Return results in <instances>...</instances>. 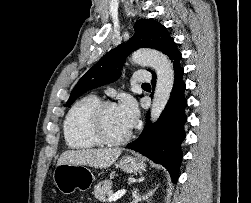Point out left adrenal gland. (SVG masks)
Here are the masks:
<instances>
[{
    "label": "left adrenal gland",
    "instance_id": "obj_1",
    "mask_svg": "<svg viewBox=\"0 0 251 203\" xmlns=\"http://www.w3.org/2000/svg\"><path fill=\"white\" fill-rule=\"evenodd\" d=\"M154 190L153 191H149L147 194H145L144 196H140V194L138 193V190L136 189L134 192H133V201L132 203H138L140 202L141 200H145L148 198V196H150L151 194H153Z\"/></svg>",
    "mask_w": 251,
    "mask_h": 203
}]
</instances>
